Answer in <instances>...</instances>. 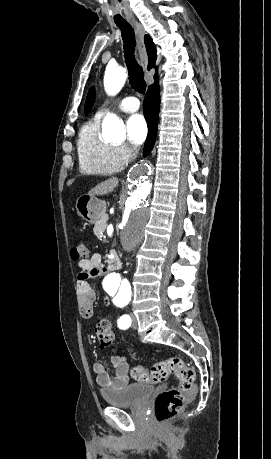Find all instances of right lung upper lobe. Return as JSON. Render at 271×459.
I'll return each mask as SVG.
<instances>
[{"instance_id": "right-lung-upper-lobe-1", "label": "right lung upper lobe", "mask_w": 271, "mask_h": 459, "mask_svg": "<svg viewBox=\"0 0 271 459\" xmlns=\"http://www.w3.org/2000/svg\"><path fill=\"white\" fill-rule=\"evenodd\" d=\"M147 54H148V70L155 67L156 62V47L149 35H145L144 38ZM154 78H157V73Z\"/></svg>"}]
</instances>
